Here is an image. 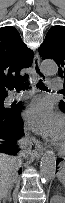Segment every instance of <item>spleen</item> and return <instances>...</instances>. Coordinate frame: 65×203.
<instances>
[{"label": "spleen", "mask_w": 65, "mask_h": 203, "mask_svg": "<svg viewBox=\"0 0 65 203\" xmlns=\"http://www.w3.org/2000/svg\"><path fill=\"white\" fill-rule=\"evenodd\" d=\"M62 174H63V170L60 171V173H59V177H60Z\"/></svg>", "instance_id": "obj_1"}]
</instances>
